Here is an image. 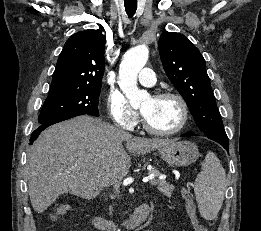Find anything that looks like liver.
Here are the masks:
<instances>
[{"label":"liver","mask_w":261,"mask_h":231,"mask_svg":"<svg viewBox=\"0 0 261 231\" xmlns=\"http://www.w3.org/2000/svg\"><path fill=\"white\" fill-rule=\"evenodd\" d=\"M170 139L134 137L100 119L77 116L43 131L28 153L26 178L34 210L44 212L59 195L92 199L129 172L127 150L146 154Z\"/></svg>","instance_id":"1"}]
</instances>
